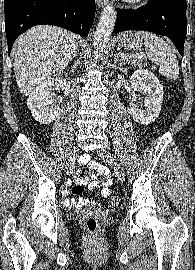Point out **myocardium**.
<instances>
[{
	"label": "myocardium",
	"instance_id": "f54148a6",
	"mask_svg": "<svg viewBox=\"0 0 195 270\" xmlns=\"http://www.w3.org/2000/svg\"><path fill=\"white\" fill-rule=\"evenodd\" d=\"M124 1L127 2V3H130V4H139V3H142L145 0H124Z\"/></svg>",
	"mask_w": 195,
	"mask_h": 270
}]
</instances>
